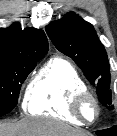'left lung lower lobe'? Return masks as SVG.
I'll return each mask as SVG.
<instances>
[{"label": "left lung lower lobe", "instance_id": "1", "mask_svg": "<svg viewBox=\"0 0 117 136\" xmlns=\"http://www.w3.org/2000/svg\"><path fill=\"white\" fill-rule=\"evenodd\" d=\"M98 136H116V127H112L106 130L97 131Z\"/></svg>", "mask_w": 117, "mask_h": 136}]
</instances>
